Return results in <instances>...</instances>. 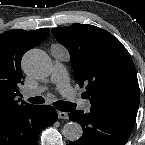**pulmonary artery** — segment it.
<instances>
[{
    "instance_id": "pulmonary-artery-1",
    "label": "pulmonary artery",
    "mask_w": 145,
    "mask_h": 145,
    "mask_svg": "<svg viewBox=\"0 0 145 145\" xmlns=\"http://www.w3.org/2000/svg\"><path fill=\"white\" fill-rule=\"evenodd\" d=\"M51 82L56 84L59 93L70 99V100H78V95L71 87L67 71L64 65L60 61H55L51 73ZM45 90V87H40L37 89H30L24 92L25 97H32L34 95H38ZM81 108L85 112H89L91 109V102L89 100L81 102Z\"/></svg>"
}]
</instances>
